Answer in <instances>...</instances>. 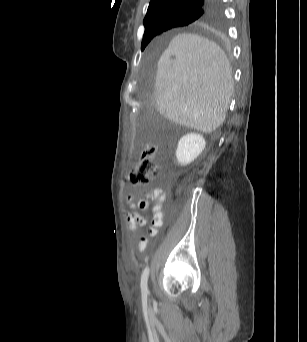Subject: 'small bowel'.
I'll return each mask as SVG.
<instances>
[{
    "mask_svg": "<svg viewBox=\"0 0 307 342\" xmlns=\"http://www.w3.org/2000/svg\"><path fill=\"white\" fill-rule=\"evenodd\" d=\"M165 201L164 193L159 188H154L148 191L144 198L136 199L134 195H129L128 203L133 210L126 216L127 224L134 236H136L137 228L146 225V219L139 213V211H147L150 207V203L154 202L152 208L153 223L148 229L150 236H155L158 233V229L162 224L163 218V204ZM147 246L146 237H141L138 243V250L144 251Z\"/></svg>",
    "mask_w": 307,
    "mask_h": 342,
    "instance_id": "obj_1",
    "label": "small bowel"
}]
</instances>
